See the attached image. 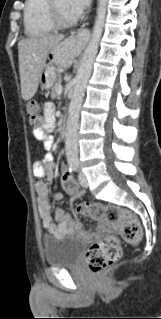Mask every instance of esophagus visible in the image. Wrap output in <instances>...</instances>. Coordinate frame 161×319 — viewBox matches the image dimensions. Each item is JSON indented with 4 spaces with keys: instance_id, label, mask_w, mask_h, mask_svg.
Returning <instances> with one entry per match:
<instances>
[{
    "instance_id": "esophagus-1",
    "label": "esophagus",
    "mask_w": 161,
    "mask_h": 319,
    "mask_svg": "<svg viewBox=\"0 0 161 319\" xmlns=\"http://www.w3.org/2000/svg\"><path fill=\"white\" fill-rule=\"evenodd\" d=\"M90 32L89 30L82 26L78 30L71 32V38L77 39L81 44H86L89 40Z\"/></svg>"
}]
</instances>
